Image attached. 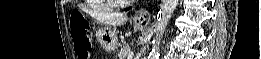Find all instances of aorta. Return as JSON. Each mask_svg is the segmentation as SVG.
<instances>
[{"label": "aorta", "instance_id": "aorta-1", "mask_svg": "<svg viewBox=\"0 0 261 59\" xmlns=\"http://www.w3.org/2000/svg\"><path fill=\"white\" fill-rule=\"evenodd\" d=\"M179 0H162L157 14V21L154 27L156 33L155 38L152 41V50L148 56V59L159 58V45L166 27L171 19Z\"/></svg>", "mask_w": 261, "mask_h": 59}]
</instances>
